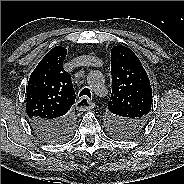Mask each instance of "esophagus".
<instances>
[{
  "instance_id": "esophagus-1",
  "label": "esophagus",
  "mask_w": 184,
  "mask_h": 184,
  "mask_svg": "<svg viewBox=\"0 0 184 184\" xmlns=\"http://www.w3.org/2000/svg\"><path fill=\"white\" fill-rule=\"evenodd\" d=\"M76 107L80 110V111H86V110H90L93 109L95 107V103L90 101L87 97H82L80 98L77 103H76Z\"/></svg>"
}]
</instances>
